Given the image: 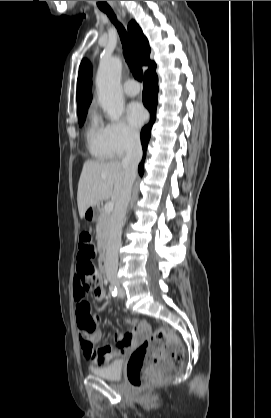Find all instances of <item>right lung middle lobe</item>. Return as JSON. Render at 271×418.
<instances>
[{"label":"right lung middle lobe","instance_id":"1","mask_svg":"<svg viewBox=\"0 0 271 418\" xmlns=\"http://www.w3.org/2000/svg\"><path fill=\"white\" fill-rule=\"evenodd\" d=\"M86 114H82L78 116L79 125L82 126L85 120Z\"/></svg>","mask_w":271,"mask_h":418}]
</instances>
